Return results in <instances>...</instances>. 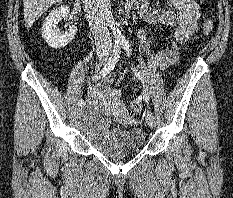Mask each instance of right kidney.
<instances>
[{
    "instance_id": "1",
    "label": "right kidney",
    "mask_w": 233,
    "mask_h": 198,
    "mask_svg": "<svg viewBox=\"0 0 233 198\" xmlns=\"http://www.w3.org/2000/svg\"><path fill=\"white\" fill-rule=\"evenodd\" d=\"M69 12V7L67 5H62L52 10L42 25V37L46 43L54 49H60L68 45L77 33V27L75 26H71L64 35H61L60 31L57 29L59 21L67 18Z\"/></svg>"
}]
</instances>
